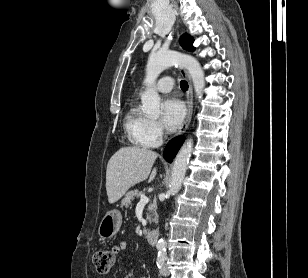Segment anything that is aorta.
I'll list each match as a JSON object with an SVG mask.
<instances>
[{
  "mask_svg": "<svg viewBox=\"0 0 308 278\" xmlns=\"http://www.w3.org/2000/svg\"><path fill=\"white\" fill-rule=\"evenodd\" d=\"M179 65L186 68L190 74L198 97H201L205 87L204 72L200 63L192 56L176 51H159L149 56L146 66V91L141 95L142 111L150 118H157L160 114V96L154 89L157 77L170 66ZM193 150V140L188 139L178 152L173 168L169 191L172 195L179 192L186 174L187 165ZM157 247L165 250L166 241L159 239Z\"/></svg>",
  "mask_w": 308,
  "mask_h": 278,
  "instance_id": "aorta-1",
  "label": "aorta"
}]
</instances>
